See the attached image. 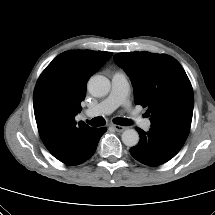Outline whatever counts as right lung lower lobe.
I'll use <instances>...</instances> for the list:
<instances>
[{
	"label": "right lung lower lobe",
	"mask_w": 215,
	"mask_h": 215,
	"mask_svg": "<svg viewBox=\"0 0 215 215\" xmlns=\"http://www.w3.org/2000/svg\"><path fill=\"white\" fill-rule=\"evenodd\" d=\"M106 128H96L95 131L93 132L92 136L89 138L87 141V144L79 157V159L73 164V165H79L86 160H88L95 152L98 141L101 138V136L106 132Z\"/></svg>",
	"instance_id": "1"
}]
</instances>
